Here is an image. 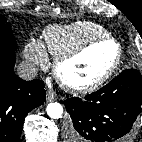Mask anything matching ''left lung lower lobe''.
<instances>
[{
    "mask_svg": "<svg viewBox=\"0 0 142 142\" xmlns=\"http://www.w3.org/2000/svg\"><path fill=\"white\" fill-rule=\"evenodd\" d=\"M70 114L68 142H121L129 135L142 105V75L126 69L85 100L64 101Z\"/></svg>",
    "mask_w": 142,
    "mask_h": 142,
    "instance_id": "1",
    "label": "left lung lower lobe"
}]
</instances>
